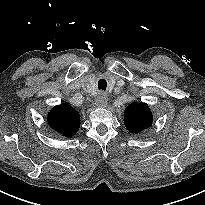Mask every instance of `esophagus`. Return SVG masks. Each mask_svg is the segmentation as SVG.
<instances>
[{
  "label": "esophagus",
  "instance_id": "34e87169",
  "mask_svg": "<svg viewBox=\"0 0 205 205\" xmlns=\"http://www.w3.org/2000/svg\"><path fill=\"white\" fill-rule=\"evenodd\" d=\"M107 102H108V98H107L106 94L101 92L98 94L96 101H95V104L97 107H106Z\"/></svg>",
  "mask_w": 205,
  "mask_h": 205
}]
</instances>
